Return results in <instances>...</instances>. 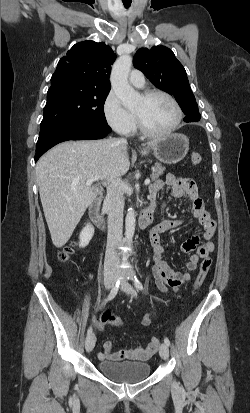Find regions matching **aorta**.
I'll list each match as a JSON object with an SVG mask.
<instances>
[{
  "label": "aorta",
  "instance_id": "762f6f07",
  "mask_svg": "<svg viewBox=\"0 0 250 413\" xmlns=\"http://www.w3.org/2000/svg\"><path fill=\"white\" fill-rule=\"evenodd\" d=\"M131 65V56L122 55L115 61L110 75L111 86L116 96L122 101L123 106L127 109L135 107L140 100V94L128 83V75ZM135 221V211L130 207L125 220V234L128 243L132 241L134 236Z\"/></svg>",
  "mask_w": 250,
  "mask_h": 413
}]
</instances>
